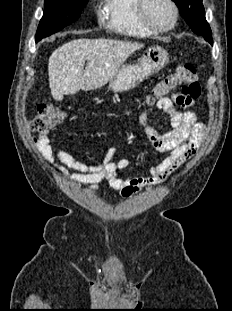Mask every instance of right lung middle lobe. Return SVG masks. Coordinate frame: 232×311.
<instances>
[{"mask_svg":"<svg viewBox=\"0 0 232 311\" xmlns=\"http://www.w3.org/2000/svg\"><path fill=\"white\" fill-rule=\"evenodd\" d=\"M88 0H45L44 14L39 23L36 42L76 21Z\"/></svg>","mask_w":232,"mask_h":311,"instance_id":"obj_1","label":"right lung middle lobe"}]
</instances>
